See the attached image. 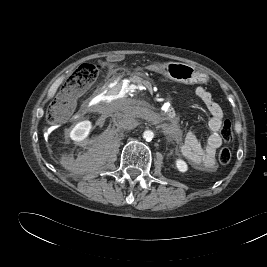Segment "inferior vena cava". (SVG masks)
Returning a JSON list of instances; mask_svg holds the SVG:
<instances>
[{
	"instance_id": "602c4592",
	"label": "inferior vena cava",
	"mask_w": 267,
	"mask_h": 267,
	"mask_svg": "<svg viewBox=\"0 0 267 267\" xmlns=\"http://www.w3.org/2000/svg\"><path fill=\"white\" fill-rule=\"evenodd\" d=\"M118 125L123 129L131 130L138 126V122L132 117L124 116L123 118L119 119Z\"/></svg>"
}]
</instances>
